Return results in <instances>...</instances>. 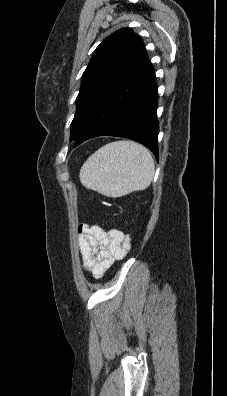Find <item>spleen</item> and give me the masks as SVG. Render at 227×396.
<instances>
[{"instance_id":"obj_1","label":"spleen","mask_w":227,"mask_h":396,"mask_svg":"<svg viewBox=\"0 0 227 396\" xmlns=\"http://www.w3.org/2000/svg\"><path fill=\"white\" fill-rule=\"evenodd\" d=\"M154 160L149 150L132 141H115L98 149L80 170L87 189L109 197L144 190L152 182Z\"/></svg>"}]
</instances>
